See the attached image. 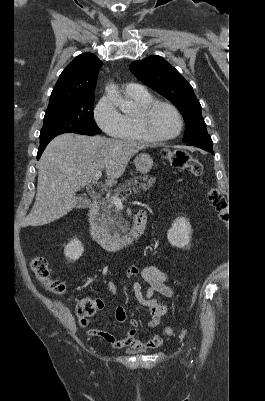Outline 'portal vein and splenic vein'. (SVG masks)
<instances>
[{
	"label": "portal vein and splenic vein",
	"instance_id": "1",
	"mask_svg": "<svg viewBox=\"0 0 265 401\" xmlns=\"http://www.w3.org/2000/svg\"><path fill=\"white\" fill-rule=\"evenodd\" d=\"M100 176H102V170H99V172L95 174L93 182L99 180ZM111 198H112V203H114L115 207H123L122 201H125V198H119V196H111Z\"/></svg>",
	"mask_w": 265,
	"mask_h": 401
}]
</instances>
